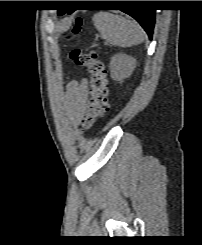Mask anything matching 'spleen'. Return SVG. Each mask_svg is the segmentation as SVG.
I'll list each match as a JSON object with an SVG mask.
<instances>
[{
	"instance_id": "obj_1",
	"label": "spleen",
	"mask_w": 202,
	"mask_h": 245,
	"mask_svg": "<svg viewBox=\"0 0 202 245\" xmlns=\"http://www.w3.org/2000/svg\"><path fill=\"white\" fill-rule=\"evenodd\" d=\"M93 21L101 37L112 45L126 48L144 41L142 28L122 16L99 12L94 15Z\"/></svg>"
}]
</instances>
